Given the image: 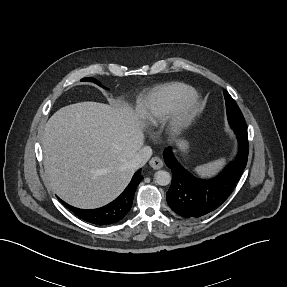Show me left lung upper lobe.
I'll return each instance as SVG.
<instances>
[{"label":"left lung upper lobe","mask_w":287,"mask_h":287,"mask_svg":"<svg viewBox=\"0 0 287 287\" xmlns=\"http://www.w3.org/2000/svg\"><path fill=\"white\" fill-rule=\"evenodd\" d=\"M224 97L226 101L227 117L230 125L232 124H246L244 117L237 106L236 102L230 96V94L224 90Z\"/></svg>","instance_id":"left-lung-upper-lobe-1"}]
</instances>
